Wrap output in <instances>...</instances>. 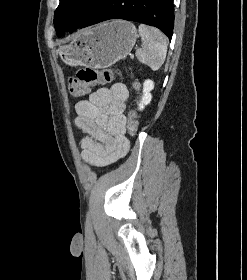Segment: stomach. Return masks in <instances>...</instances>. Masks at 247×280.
Masks as SVG:
<instances>
[{
	"label": "stomach",
	"mask_w": 247,
	"mask_h": 280,
	"mask_svg": "<svg viewBox=\"0 0 247 280\" xmlns=\"http://www.w3.org/2000/svg\"><path fill=\"white\" fill-rule=\"evenodd\" d=\"M137 37L131 22L115 20L80 31L69 45L60 48L59 54L70 66L102 69L124 59Z\"/></svg>",
	"instance_id": "0dacf381"
}]
</instances>
